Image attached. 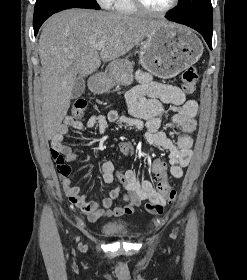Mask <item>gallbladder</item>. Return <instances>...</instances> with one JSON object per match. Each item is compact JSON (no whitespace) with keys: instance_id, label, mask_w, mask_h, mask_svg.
Returning <instances> with one entry per match:
<instances>
[{"instance_id":"1","label":"gallbladder","mask_w":247,"mask_h":280,"mask_svg":"<svg viewBox=\"0 0 247 280\" xmlns=\"http://www.w3.org/2000/svg\"><path fill=\"white\" fill-rule=\"evenodd\" d=\"M85 90V81L84 78L79 76L76 81L75 84L73 86L72 92H71V99H77L79 98Z\"/></svg>"}]
</instances>
